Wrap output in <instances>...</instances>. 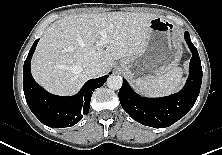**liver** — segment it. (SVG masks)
<instances>
[{
    "mask_svg": "<svg viewBox=\"0 0 222 155\" xmlns=\"http://www.w3.org/2000/svg\"><path fill=\"white\" fill-rule=\"evenodd\" d=\"M157 15L105 12L70 15L52 23L44 32L32 58L34 79L51 93L70 95L89 78L90 63L104 75L115 60L140 55L147 46L149 22ZM108 42L99 47L100 31Z\"/></svg>",
    "mask_w": 222,
    "mask_h": 155,
    "instance_id": "obj_1",
    "label": "liver"
}]
</instances>
